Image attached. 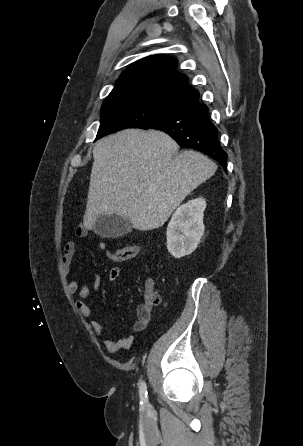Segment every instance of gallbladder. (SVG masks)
<instances>
[{
  "label": "gallbladder",
  "mask_w": 303,
  "mask_h": 446,
  "mask_svg": "<svg viewBox=\"0 0 303 446\" xmlns=\"http://www.w3.org/2000/svg\"><path fill=\"white\" fill-rule=\"evenodd\" d=\"M93 230L102 237L116 238L130 232L131 224L120 216L102 215L96 219Z\"/></svg>",
  "instance_id": "gallbladder-1"
}]
</instances>
